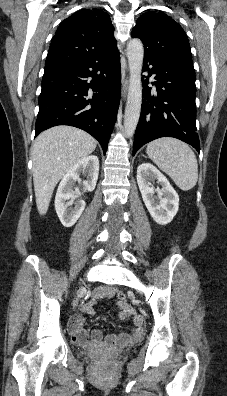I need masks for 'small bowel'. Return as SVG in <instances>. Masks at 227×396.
<instances>
[{
    "label": "small bowel",
    "mask_w": 227,
    "mask_h": 396,
    "mask_svg": "<svg viewBox=\"0 0 227 396\" xmlns=\"http://www.w3.org/2000/svg\"><path fill=\"white\" fill-rule=\"evenodd\" d=\"M120 292L112 286H103L98 288L91 301L82 306V313L85 315L93 314L94 303L105 297L117 296ZM118 306L120 308L119 318L121 320L131 319L133 327L130 333L110 334L105 340L103 334L99 329H93L90 333L84 329V317L82 315H74L69 320V328L73 340L81 345L96 347L103 342L108 344L131 343L140 339L143 334L140 319L134 314L132 307L123 299L118 298Z\"/></svg>",
    "instance_id": "obj_1"
}]
</instances>
